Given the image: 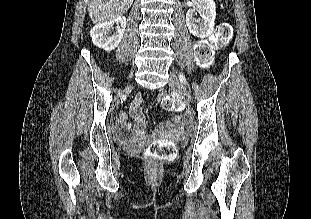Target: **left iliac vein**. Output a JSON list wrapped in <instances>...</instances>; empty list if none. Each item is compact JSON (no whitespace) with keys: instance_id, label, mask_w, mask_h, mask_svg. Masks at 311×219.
I'll return each mask as SVG.
<instances>
[{"instance_id":"left-iliac-vein-1","label":"left iliac vein","mask_w":311,"mask_h":219,"mask_svg":"<svg viewBox=\"0 0 311 219\" xmlns=\"http://www.w3.org/2000/svg\"><path fill=\"white\" fill-rule=\"evenodd\" d=\"M169 86L178 92L187 102L191 100V95L188 89L184 86L181 80L178 79L176 74L172 72L170 73Z\"/></svg>"}]
</instances>
